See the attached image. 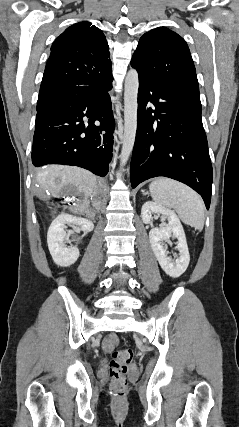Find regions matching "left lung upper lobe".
I'll use <instances>...</instances> for the list:
<instances>
[{"instance_id":"obj_1","label":"left lung upper lobe","mask_w":239,"mask_h":427,"mask_svg":"<svg viewBox=\"0 0 239 427\" xmlns=\"http://www.w3.org/2000/svg\"><path fill=\"white\" fill-rule=\"evenodd\" d=\"M131 65L143 77L199 97L196 70L189 48L182 37L165 27L151 30L140 38Z\"/></svg>"}]
</instances>
